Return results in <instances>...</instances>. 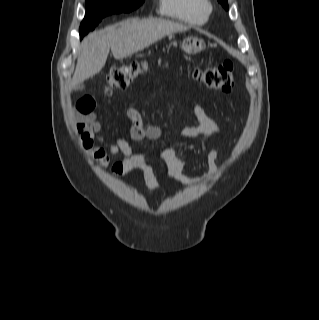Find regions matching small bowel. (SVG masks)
<instances>
[{"label": "small bowel", "instance_id": "obj_1", "mask_svg": "<svg viewBox=\"0 0 319 320\" xmlns=\"http://www.w3.org/2000/svg\"><path fill=\"white\" fill-rule=\"evenodd\" d=\"M94 108L95 102L89 96L83 97L77 103L76 128L79 133L81 147L90 152L92 158L101 168L110 164L111 156L121 155L122 160L118 163L122 167L118 174L130 175L134 170L140 168L143 170V180L148 189L152 192H159L161 184L153 167L148 162L149 153L147 151L134 149L130 142L123 137L114 139L108 147L94 145V141L100 139L98 133L102 128V124L96 118ZM191 109L197 124L187 126L182 130L181 135L184 139L211 137L221 134L220 125L206 114L200 104L192 103ZM127 117L131 122L130 136L135 137L134 140L145 137H158L160 135L159 128L145 122L135 108L130 107L127 110ZM158 156L167 165L171 181L177 185L203 182L212 178L218 171L219 152L217 150L208 152L206 157L208 171L200 178H191L185 175V162L174 148L166 145L162 146L158 151Z\"/></svg>", "mask_w": 319, "mask_h": 320}]
</instances>
